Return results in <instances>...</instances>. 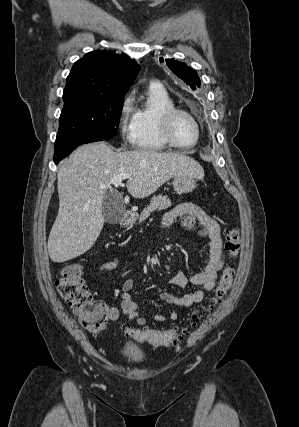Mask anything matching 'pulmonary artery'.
<instances>
[{
    "instance_id": "pulmonary-artery-1",
    "label": "pulmonary artery",
    "mask_w": 299,
    "mask_h": 427,
    "mask_svg": "<svg viewBox=\"0 0 299 427\" xmlns=\"http://www.w3.org/2000/svg\"><path fill=\"white\" fill-rule=\"evenodd\" d=\"M153 85L156 86V87L163 88L162 84L159 83V82H157V81L153 82Z\"/></svg>"
}]
</instances>
